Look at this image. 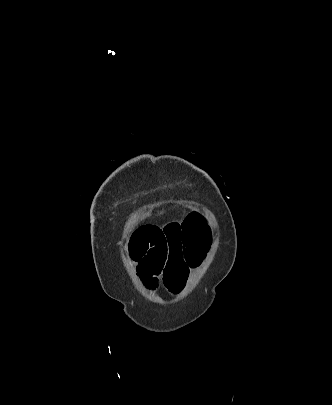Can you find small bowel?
I'll use <instances>...</instances> for the list:
<instances>
[{"mask_svg": "<svg viewBox=\"0 0 332 405\" xmlns=\"http://www.w3.org/2000/svg\"><path fill=\"white\" fill-rule=\"evenodd\" d=\"M183 228L178 222L143 225L131 236L127 253L134 264L138 282L150 289L153 298H161L163 287L178 293L184 287L194 262H183Z\"/></svg>", "mask_w": 332, "mask_h": 405, "instance_id": "1", "label": "small bowel"}]
</instances>
